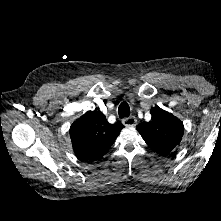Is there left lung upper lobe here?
<instances>
[{"label": "left lung upper lobe", "instance_id": "left-lung-upper-lobe-1", "mask_svg": "<svg viewBox=\"0 0 221 221\" xmlns=\"http://www.w3.org/2000/svg\"><path fill=\"white\" fill-rule=\"evenodd\" d=\"M150 113L151 121L140 123L136 129L152 150L167 156L181 142L183 123L159 107L152 108Z\"/></svg>", "mask_w": 221, "mask_h": 221}]
</instances>
